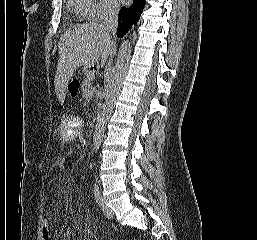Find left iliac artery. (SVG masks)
Segmentation results:
<instances>
[{"mask_svg": "<svg viewBox=\"0 0 257 240\" xmlns=\"http://www.w3.org/2000/svg\"><path fill=\"white\" fill-rule=\"evenodd\" d=\"M94 197H95L97 204L100 206L102 204V197H101L99 187L96 183L94 185Z\"/></svg>", "mask_w": 257, "mask_h": 240, "instance_id": "1", "label": "left iliac artery"}]
</instances>
